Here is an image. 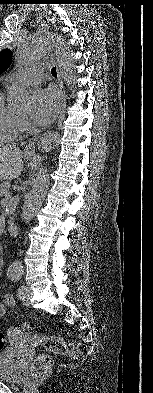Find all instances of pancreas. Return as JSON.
Listing matches in <instances>:
<instances>
[{"instance_id":"1","label":"pancreas","mask_w":153,"mask_h":393,"mask_svg":"<svg viewBox=\"0 0 153 393\" xmlns=\"http://www.w3.org/2000/svg\"><path fill=\"white\" fill-rule=\"evenodd\" d=\"M11 187L10 181L6 180L0 184V197H5L8 193H10L9 189Z\"/></svg>"}]
</instances>
